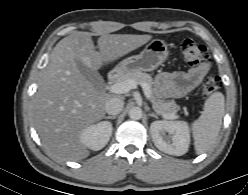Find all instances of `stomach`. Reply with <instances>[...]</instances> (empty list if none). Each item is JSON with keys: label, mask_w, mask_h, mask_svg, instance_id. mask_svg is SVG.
Wrapping results in <instances>:
<instances>
[{"label": "stomach", "mask_w": 248, "mask_h": 195, "mask_svg": "<svg viewBox=\"0 0 248 195\" xmlns=\"http://www.w3.org/2000/svg\"><path fill=\"white\" fill-rule=\"evenodd\" d=\"M168 44L162 39H154L138 54L121 61L114 69L118 74L153 71L169 57Z\"/></svg>", "instance_id": "stomach-1"}]
</instances>
